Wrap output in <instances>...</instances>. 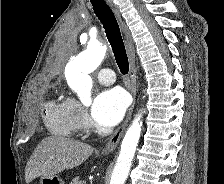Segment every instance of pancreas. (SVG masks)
<instances>
[{"label": "pancreas", "mask_w": 224, "mask_h": 184, "mask_svg": "<svg viewBox=\"0 0 224 184\" xmlns=\"http://www.w3.org/2000/svg\"><path fill=\"white\" fill-rule=\"evenodd\" d=\"M70 184H83L78 178H74Z\"/></svg>", "instance_id": "obj_1"}]
</instances>
